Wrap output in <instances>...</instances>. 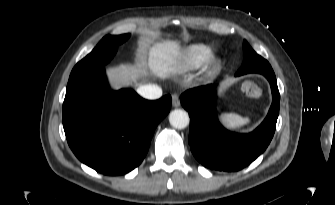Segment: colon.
I'll list each match as a JSON object with an SVG mask.
<instances>
[{
    "label": "colon",
    "mask_w": 335,
    "mask_h": 205,
    "mask_svg": "<svg viewBox=\"0 0 335 205\" xmlns=\"http://www.w3.org/2000/svg\"><path fill=\"white\" fill-rule=\"evenodd\" d=\"M242 89L246 95L249 97H259L261 95L260 87L253 81H245L242 85Z\"/></svg>",
    "instance_id": "5ec220e1"
}]
</instances>
